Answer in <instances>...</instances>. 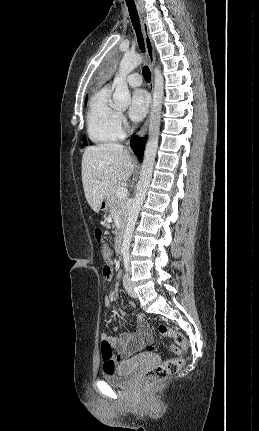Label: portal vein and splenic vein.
<instances>
[{
  "label": "portal vein and splenic vein",
  "instance_id": "portal-vein-and-splenic-vein-1",
  "mask_svg": "<svg viewBox=\"0 0 259 431\" xmlns=\"http://www.w3.org/2000/svg\"><path fill=\"white\" fill-rule=\"evenodd\" d=\"M116 194H117L118 198L122 199V198H125L127 196L128 190L125 187H119L117 189V193Z\"/></svg>",
  "mask_w": 259,
  "mask_h": 431
}]
</instances>
